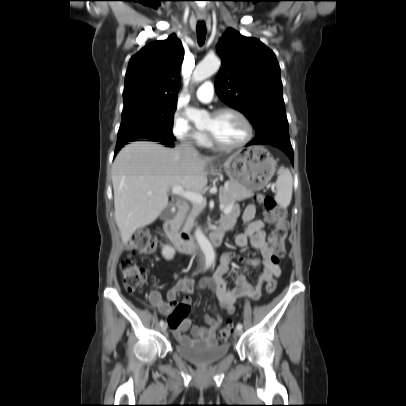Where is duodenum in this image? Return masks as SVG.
<instances>
[{"instance_id": "obj_1", "label": "duodenum", "mask_w": 406, "mask_h": 406, "mask_svg": "<svg viewBox=\"0 0 406 406\" xmlns=\"http://www.w3.org/2000/svg\"><path fill=\"white\" fill-rule=\"evenodd\" d=\"M177 213L166 219L164 231L173 243L176 250L182 255H189L194 250L192 238L187 233H181L179 230V215L187 209L186 203L178 201L176 203ZM233 223L220 221L218 226L210 233V240L215 246H220L223 242L225 232L232 228Z\"/></svg>"}]
</instances>
